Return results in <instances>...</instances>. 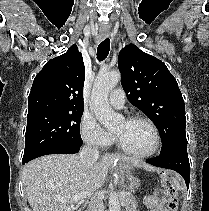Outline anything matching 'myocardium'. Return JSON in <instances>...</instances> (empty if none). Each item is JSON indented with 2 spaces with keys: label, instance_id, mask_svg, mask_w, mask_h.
Returning <instances> with one entry per match:
<instances>
[{
  "label": "myocardium",
  "instance_id": "obj_1",
  "mask_svg": "<svg viewBox=\"0 0 209 211\" xmlns=\"http://www.w3.org/2000/svg\"><path fill=\"white\" fill-rule=\"evenodd\" d=\"M126 121H129V122L141 121V122L148 124L153 132V135H154V144H153L152 148L147 152L134 153V152L127 150L122 145L119 138L115 135L114 136L115 143H116L118 150L120 152H122L123 154H125L129 157H132L134 159H147V158L154 156L158 152V150L160 148V144H161V135H160L159 129H158L157 125L154 123V121L146 116H143V115H133V116L129 117Z\"/></svg>",
  "mask_w": 209,
  "mask_h": 211
}]
</instances>
